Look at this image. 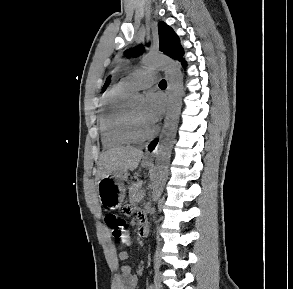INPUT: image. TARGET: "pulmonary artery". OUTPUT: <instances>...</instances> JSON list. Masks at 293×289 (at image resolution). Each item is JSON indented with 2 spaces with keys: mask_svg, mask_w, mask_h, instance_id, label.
Masks as SVG:
<instances>
[{
  "mask_svg": "<svg viewBox=\"0 0 293 289\" xmlns=\"http://www.w3.org/2000/svg\"><path fill=\"white\" fill-rule=\"evenodd\" d=\"M158 81L157 73L150 69L134 71L125 78L120 84L129 91L144 89Z\"/></svg>",
  "mask_w": 293,
  "mask_h": 289,
  "instance_id": "obj_1",
  "label": "pulmonary artery"
}]
</instances>
